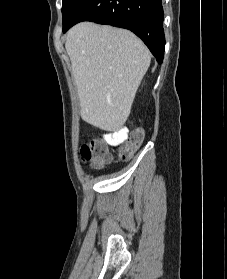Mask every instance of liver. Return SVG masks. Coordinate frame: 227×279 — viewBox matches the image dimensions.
Wrapping results in <instances>:
<instances>
[{
	"label": "liver",
	"mask_w": 227,
	"mask_h": 279,
	"mask_svg": "<svg viewBox=\"0 0 227 279\" xmlns=\"http://www.w3.org/2000/svg\"><path fill=\"white\" fill-rule=\"evenodd\" d=\"M65 48L81 118L105 131L119 130L150 66L148 48L128 30L91 22L72 27Z\"/></svg>",
	"instance_id": "obj_1"
}]
</instances>
